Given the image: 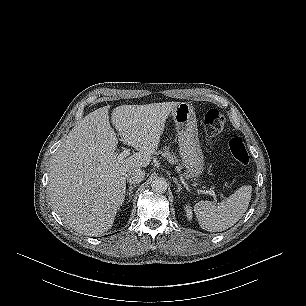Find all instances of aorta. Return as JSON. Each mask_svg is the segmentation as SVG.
Returning <instances> with one entry per match:
<instances>
[{"mask_svg":"<svg viewBox=\"0 0 306 306\" xmlns=\"http://www.w3.org/2000/svg\"><path fill=\"white\" fill-rule=\"evenodd\" d=\"M152 190L157 193H164L167 190L168 183L163 177H157L152 180Z\"/></svg>","mask_w":306,"mask_h":306,"instance_id":"762f6f07","label":"aorta"}]
</instances>
